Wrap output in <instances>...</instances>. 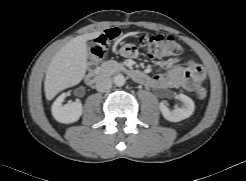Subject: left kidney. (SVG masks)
<instances>
[{
  "instance_id": "1",
  "label": "left kidney",
  "mask_w": 246,
  "mask_h": 181,
  "mask_svg": "<svg viewBox=\"0 0 246 181\" xmlns=\"http://www.w3.org/2000/svg\"><path fill=\"white\" fill-rule=\"evenodd\" d=\"M178 98L183 102V106L181 108L176 107L173 110H170L164 101L159 104V109L163 117L170 122H179L184 120L190 117L194 112V101L190 97L181 93L178 95Z\"/></svg>"
}]
</instances>
